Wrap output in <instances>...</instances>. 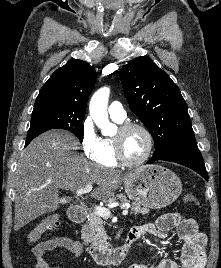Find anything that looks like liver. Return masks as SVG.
<instances>
[{
	"mask_svg": "<svg viewBox=\"0 0 221 268\" xmlns=\"http://www.w3.org/2000/svg\"><path fill=\"white\" fill-rule=\"evenodd\" d=\"M77 146L73 135L53 130L36 137L21 153L15 173V231L57 210L63 202L59 189L76 191L96 183L91 196L104 200L133 176L134 171L122 172L87 161L74 152Z\"/></svg>",
	"mask_w": 221,
	"mask_h": 268,
	"instance_id": "liver-1",
	"label": "liver"
}]
</instances>
